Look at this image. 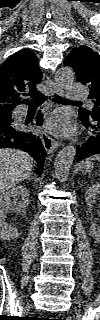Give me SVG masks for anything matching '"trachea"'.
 <instances>
[{"instance_id":"3493384b","label":"trachea","mask_w":100,"mask_h":320,"mask_svg":"<svg viewBox=\"0 0 100 320\" xmlns=\"http://www.w3.org/2000/svg\"><path fill=\"white\" fill-rule=\"evenodd\" d=\"M46 99H47L46 96H42V97H38V98L32 99V100L29 102V107H37V106L43 104ZM53 101H55V102H57V103H68V102H72L71 100L62 98V97H60V96H55V97L53 98Z\"/></svg>"}]
</instances>
